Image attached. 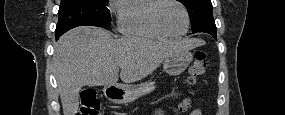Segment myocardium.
<instances>
[{"instance_id":"f54148a6","label":"myocardium","mask_w":285,"mask_h":115,"mask_svg":"<svg viewBox=\"0 0 285 115\" xmlns=\"http://www.w3.org/2000/svg\"><path fill=\"white\" fill-rule=\"evenodd\" d=\"M166 2L176 3L177 5H179L182 8V10L184 12L185 19H186V27H185L184 31H182L181 33L174 34V33L169 32L166 28H164V26L159 21V9H160L161 5L166 3ZM152 22H153L154 26L159 31H161L163 34H165L166 36L171 37V38H179V37H182V36L186 35L188 33V31H189V28H190V14H189L186 6L181 1H177V0H158L156 5H155V7H154V9H153V12H152Z\"/></svg>"}]
</instances>
